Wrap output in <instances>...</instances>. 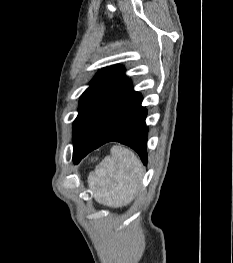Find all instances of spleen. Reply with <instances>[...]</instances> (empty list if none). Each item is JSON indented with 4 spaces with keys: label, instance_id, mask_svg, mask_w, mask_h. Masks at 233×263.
<instances>
[{
    "label": "spleen",
    "instance_id": "spleen-1",
    "mask_svg": "<svg viewBox=\"0 0 233 263\" xmlns=\"http://www.w3.org/2000/svg\"><path fill=\"white\" fill-rule=\"evenodd\" d=\"M142 164L129 149L116 145L88 176V186L95 200L109 207L129 204L140 188Z\"/></svg>",
    "mask_w": 233,
    "mask_h": 263
}]
</instances>
